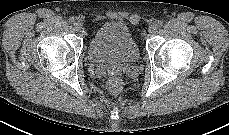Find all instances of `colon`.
Returning <instances> with one entry per match:
<instances>
[{
	"mask_svg": "<svg viewBox=\"0 0 229 135\" xmlns=\"http://www.w3.org/2000/svg\"><path fill=\"white\" fill-rule=\"evenodd\" d=\"M122 89V82L118 77H112L107 83V92L110 95H117Z\"/></svg>",
	"mask_w": 229,
	"mask_h": 135,
	"instance_id": "obj_1",
	"label": "colon"
}]
</instances>
